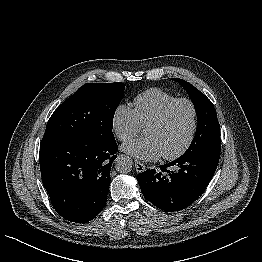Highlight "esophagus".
Here are the masks:
<instances>
[{
	"mask_svg": "<svg viewBox=\"0 0 262 262\" xmlns=\"http://www.w3.org/2000/svg\"><path fill=\"white\" fill-rule=\"evenodd\" d=\"M135 168H136L137 172H143V171H145L146 166L143 163H141L140 161L136 160L135 161Z\"/></svg>",
	"mask_w": 262,
	"mask_h": 262,
	"instance_id": "esophagus-1",
	"label": "esophagus"
}]
</instances>
